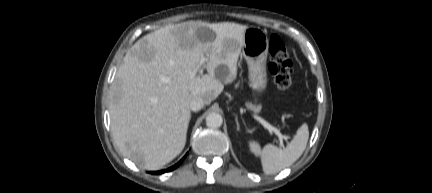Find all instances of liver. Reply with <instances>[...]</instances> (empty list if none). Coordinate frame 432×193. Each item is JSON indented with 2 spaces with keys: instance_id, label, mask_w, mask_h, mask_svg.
I'll return each instance as SVG.
<instances>
[{
  "instance_id": "liver-1",
  "label": "liver",
  "mask_w": 432,
  "mask_h": 193,
  "mask_svg": "<svg viewBox=\"0 0 432 193\" xmlns=\"http://www.w3.org/2000/svg\"><path fill=\"white\" fill-rule=\"evenodd\" d=\"M247 28L191 20L161 27L127 51L109 96L112 136L125 157L158 170L182 152L192 98L201 96L209 105L236 79ZM206 29L214 34L210 40L200 37ZM202 57L207 74L192 76ZM221 66L226 72L218 79Z\"/></svg>"
}]
</instances>
